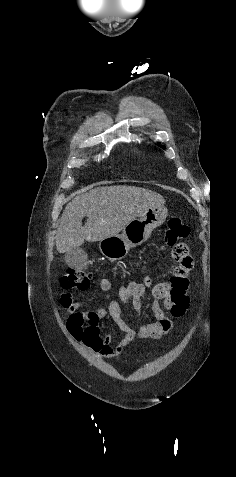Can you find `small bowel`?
<instances>
[{
	"label": "small bowel",
	"mask_w": 236,
	"mask_h": 477,
	"mask_svg": "<svg viewBox=\"0 0 236 477\" xmlns=\"http://www.w3.org/2000/svg\"><path fill=\"white\" fill-rule=\"evenodd\" d=\"M178 265L169 282L154 284L152 277L146 276L142 282L128 281L117 290L120 299L109 300L112 283L108 278H102L99 286L108 301L107 307L95 311L81 309V304L74 302L70 293H64L60 298L63 309L68 313L67 331L71 337L90 348L95 353L106 359H119L126 347L134 340H158L167 335L174 326L173 319L182 318L189 307L187 274L193 267L190 254L180 260H175ZM146 289H152L154 301L151 312L154 321L143 323L136 330L124 319L122 304L129 305L137 312L142 310V299ZM166 309L169 315L165 312ZM111 318L124 334L118 346L113 347L112 336L102 337L100 334V321Z\"/></svg>",
	"instance_id": "1"
}]
</instances>
